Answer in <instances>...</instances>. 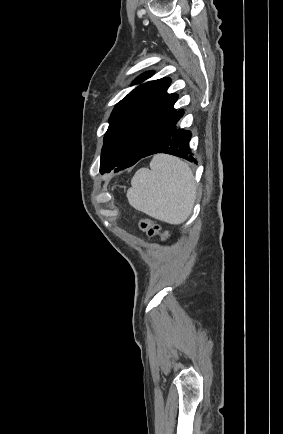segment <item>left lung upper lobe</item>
Segmentation results:
<instances>
[{
	"mask_svg": "<svg viewBox=\"0 0 283 434\" xmlns=\"http://www.w3.org/2000/svg\"><path fill=\"white\" fill-rule=\"evenodd\" d=\"M147 72L134 84L151 77ZM171 81L161 78L141 84L123 98L109 119L101 152L100 172L109 173L120 163H136L158 132L177 111V94H168Z\"/></svg>",
	"mask_w": 283,
	"mask_h": 434,
	"instance_id": "left-lung-upper-lobe-1",
	"label": "left lung upper lobe"
}]
</instances>
